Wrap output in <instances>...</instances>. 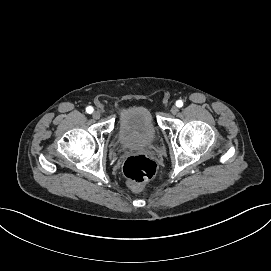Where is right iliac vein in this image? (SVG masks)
<instances>
[{"label":"right iliac vein","mask_w":271,"mask_h":271,"mask_svg":"<svg viewBox=\"0 0 271 271\" xmlns=\"http://www.w3.org/2000/svg\"><path fill=\"white\" fill-rule=\"evenodd\" d=\"M92 117H93L94 119H99V118H100V112H99V111H94V112L92 113Z\"/></svg>","instance_id":"1"}]
</instances>
